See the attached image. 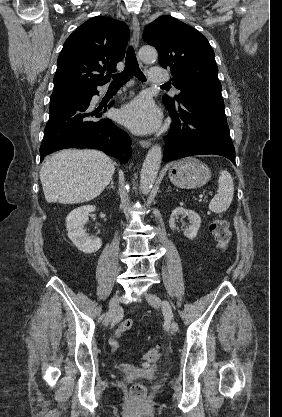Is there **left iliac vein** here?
I'll return each instance as SVG.
<instances>
[{"label":"left iliac vein","instance_id":"left-iliac-vein-1","mask_svg":"<svg viewBox=\"0 0 282 417\" xmlns=\"http://www.w3.org/2000/svg\"><path fill=\"white\" fill-rule=\"evenodd\" d=\"M146 299H147L148 303L156 309L160 308L161 305H162L161 299L154 294L147 293L146 294ZM169 325H170V329H171L172 332H177L179 330V326H178L177 322L169 320Z\"/></svg>","mask_w":282,"mask_h":417}]
</instances>
